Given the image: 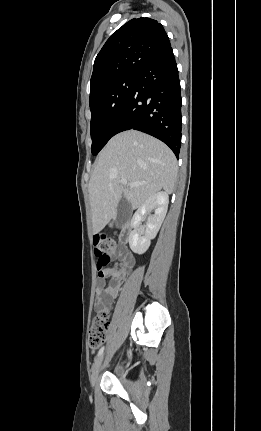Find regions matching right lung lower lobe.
Segmentation results:
<instances>
[{
    "instance_id": "1",
    "label": "right lung lower lobe",
    "mask_w": 261,
    "mask_h": 431,
    "mask_svg": "<svg viewBox=\"0 0 261 431\" xmlns=\"http://www.w3.org/2000/svg\"><path fill=\"white\" fill-rule=\"evenodd\" d=\"M180 82L171 47L152 59L137 75L113 136L135 129L167 144L177 159L181 147Z\"/></svg>"
}]
</instances>
